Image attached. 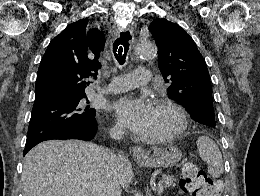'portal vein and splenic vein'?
Segmentation results:
<instances>
[{
    "mask_svg": "<svg viewBox=\"0 0 260 196\" xmlns=\"http://www.w3.org/2000/svg\"><path fill=\"white\" fill-rule=\"evenodd\" d=\"M155 190L157 191L158 194L162 193V190H163L162 182H159V186H156Z\"/></svg>",
    "mask_w": 260,
    "mask_h": 196,
    "instance_id": "18ae733b",
    "label": "portal vein and splenic vein"
}]
</instances>
